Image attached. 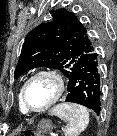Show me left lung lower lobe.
I'll use <instances>...</instances> for the list:
<instances>
[{"mask_svg":"<svg viewBox=\"0 0 117 136\" xmlns=\"http://www.w3.org/2000/svg\"><path fill=\"white\" fill-rule=\"evenodd\" d=\"M101 72L97 49L81 56L68 76L66 102L86 106L99 114L101 111Z\"/></svg>","mask_w":117,"mask_h":136,"instance_id":"1","label":"left lung lower lobe"}]
</instances>
